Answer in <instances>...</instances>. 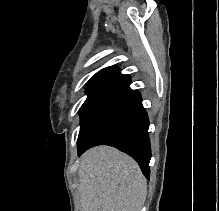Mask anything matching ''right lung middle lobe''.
Here are the masks:
<instances>
[{
	"label": "right lung middle lobe",
	"mask_w": 219,
	"mask_h": 211,
	"mask_svg": "<svg viewBox=\"0 0 219 211\" xmlns=\"http://www.w3.org/2000/svg\"><path fill=\"white\" fill-rule=\"evenodd\" d=\"M109 91H96L88 93V97L79 110L80 114V132L79 136L86 128L94 112L105 99Z\"/></svg>",
	"instance_id": "right-lung-middle-lobe-1"
}]
</instances>
